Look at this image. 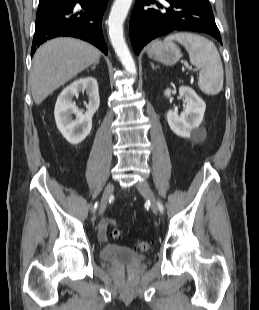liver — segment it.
Instances as JSON below:
<instances>
[{
  "label": "liver",
  "mask_w": 259,
  "mask_h": 310,
  "mask_svg": "<svg viewBox=\"0 0 259 310\" xmlns=\"http://www.w3.org/2000/svg\"><path fill=\"white\" fill-rule=\"evenodd\" d=\"M101 52L93 45L75 38L60 37L43 44L33 58L31 91L39 105L78 73L99 62Z\"/></svg>",
  "instance_id": "liver-1"
}]
</instances>
